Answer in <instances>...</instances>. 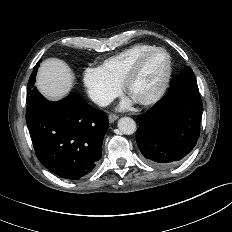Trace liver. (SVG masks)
<instances>
[{
    "label": "liver",
    "mask_w": 232,
    "mask_h": 232,
    "mask_svg": "<svg viewBox=\"0 0 232 232\" xmlns=\"http://www.w3.org/2000/svg\"><path fill=\"white\" fill-rule=\"evenodd\" d=\"M74 75L64 61L49 58L38 70L37 88L47 98L59 100L65 97L73 86Z\"/></svg>",
    "instance_id": "6515ba94"
}]
</instances>
